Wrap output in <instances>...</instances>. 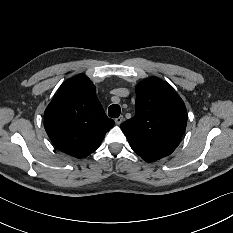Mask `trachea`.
<instances>
[{
  "instance_id": "3493384b",
  "label": "trachea",
  "mask_w": 233,
  "mask_h": 233,
  "mask_svg": "<svg viewBox=\"0 0 233 233\" xmlns=\"http://www.w3.org/2000/svg\"><path fill=\"white\" fill-rule=\"evenodd\" d=\"M120 112H121V108L119 105L117 104H113L109 107L108 109V115L112 118H117L119 117L120 115Z\"/></svg>"
}]
</instances>
